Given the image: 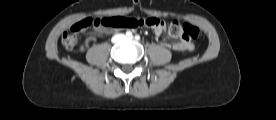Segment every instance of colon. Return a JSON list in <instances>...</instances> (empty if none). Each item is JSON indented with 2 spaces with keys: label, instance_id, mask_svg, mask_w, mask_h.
I'll return each instance as SVG.
<instances>
[{
  "label": "colon",
  "instance_id": "obj_1",
  "mask_svg": "<svg viewBox=\"0 0 276 120\" xmlns=\"http://www.w3.org/2000/svg\"><path fill=\"white\" fill-rule=\"evenodd\" d=\"M163 23L162 20L155 17L132 18V17H104V18H86L75 23L62 36V44L67 50H72L78 40L79 35L91 27H103L108 29L135 28L140 26L156 27ZM169 33L173 37H180L183 41L195 40L199 35L197 27L190 24H181L172 22L169 25Z\"/></svg>",
  "mask_w": 276,
  "mask_h": 120
}]
</instances>
